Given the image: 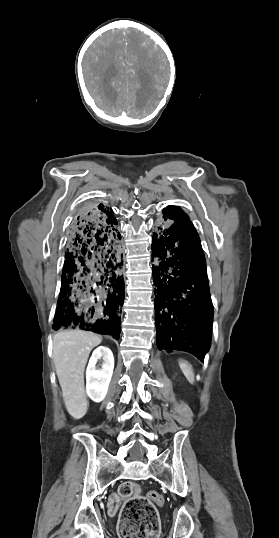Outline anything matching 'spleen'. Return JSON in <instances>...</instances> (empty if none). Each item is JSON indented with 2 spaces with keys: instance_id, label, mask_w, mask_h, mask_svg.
<instances>
[{
  "instance_id": "3e777b00",
  "label": "spleen",
  "mask_w": 279,
  "mask_h": 538,
  "mask_svg": "<svg viewBox=\"0 0 279 538\" xmlns=\"http://www.w3.org/2000/svg\"><path fill=\"white\" fill-rule=\"evenodd\" d=\"M184 376H186L187 380L193 384L194 382V374L192 370V366L190 364H187V362H180L179 364Z\"/></svg>"
}]
</instances>
